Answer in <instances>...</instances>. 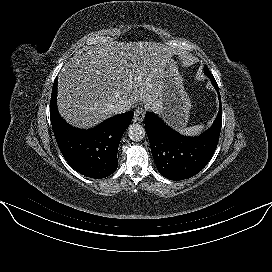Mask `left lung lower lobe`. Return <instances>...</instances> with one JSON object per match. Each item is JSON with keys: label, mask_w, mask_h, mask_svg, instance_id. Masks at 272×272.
Here are the masks:
<instances>
[{"label": "left lung lower lobe", "mask_w": 272, "mask_h": 272, "mask_svg": "<svg viewBox=\"0 0 272 272\" xmlns=\"http://www.w3.org/2000/svg\"><path fill=\"white\" fill-rule=\"evenodd\" d=\"M219 95L220 108L213 125L198 137L175 132L153 113L147 112L145 130L158 171L167 179L183 180L199 173L211 159L222 125L221 98L213 75L208 76Z\"/></svg>", "instance_id": "0a47b994"}]
</instances>
